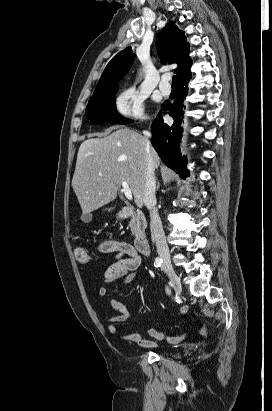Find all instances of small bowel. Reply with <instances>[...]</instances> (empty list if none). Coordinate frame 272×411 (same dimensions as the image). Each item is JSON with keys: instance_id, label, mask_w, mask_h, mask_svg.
Masks as SVG:
<instances>
[{"instance_id": "c3829d8e", "label": "small bowel", "mask_w": 272, "mask_h": 411, "mask_svg": "<svg viewBox=\"0 0 272 411\" xmlns=\"http://www.w3.org/2000/svg\"><path fill=\"white\" fill-rule=\"evenodd\" d=\"M99 252L107 254L114 253L116 260L106 269L104 273L103 284L98 289V294L101 297H105L108 293L107 285L121 282L131 283L137 278V270L141 265V257L136 251L134 246L128 242L117 240H106L99 245ZM169 293L168 290H166ZM109 306L117 311L118 315H113L109 311L104 313V321L108 324V331L113 336L120 340L136 343L140 347L144 348H156L157 344L149 339H144L139 333L122 334L119 332L116 323H124L132 319V315L127 307L120 301L114 298L108 300ZM188 307L184 308L186 311ZM147 335L156 340H166L169 343L177 344L182 342L186 335H180L176 337H169L163 332L154 328H148L146 330ZM200 335L206 337L207 328L205 323L200 329Z\"/></svg>"}]
</instances>
